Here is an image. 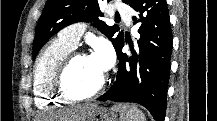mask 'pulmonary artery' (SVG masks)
Masks as SVG:
<instances>
[{
  "label": "pulmonary artery",
  "instance_id": "1",
  "mask_svg": "<svg viewBox=\"0 0 217 121\" xmlns=\"http://www.w3.org/2000/svg\"><path fill=\"white\" fill-rule=\"evenodd\" d=\"M118 13L122 16L125 23L129 26L131 24V14L129 9L125 7H119ZM86 27L87 26L85 23H75L69 25L60 32L59 37L73 47H76L81 36L84 34Z\"/></svg>",
  "mask_w": 217,
  "mask_h": 121
}]
</instances>
